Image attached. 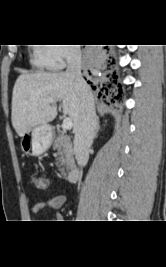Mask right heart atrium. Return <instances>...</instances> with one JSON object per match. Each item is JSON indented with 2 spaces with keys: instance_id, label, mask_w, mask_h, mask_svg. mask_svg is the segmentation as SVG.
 <instances>
[{
  "instance_id": "d8ad5b80",
  "label": "right heart atrium",
  "mask_w": 166,
  "mask_h": 267,
  "mask_svg": "<svg viewBox=\"0 0 166 267\" xmlns=\"http://www.w3.org/2000/svg\"><path fill=\"white\" fill-rule=\"evenodd\" d=\"M48 57L51 69L62 68L67 61L77 57V50L73 46L51 45L48 47Z\"/></svg>"
}]
</instances>
